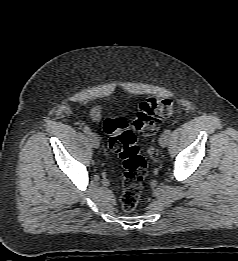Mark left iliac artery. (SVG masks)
<instances>
[{"instance_id":"obj_1","label":"left iliac artery","mask_w":238,"mask_h":261,"mask_svg":"<svg viewBox=\"0 0 238 261\" xmlns=\"http://www.w3.org/2000/svg\"><path fill=\"white\" fill-rule=\"evenodd\" d=\"M164 133H166L167 135L171 134V131L169 129L165 130Z\"/></svg>"}]
</instances>
